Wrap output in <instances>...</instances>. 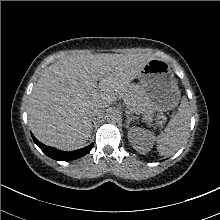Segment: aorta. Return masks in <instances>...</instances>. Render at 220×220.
Returning <instances> with one entry per match:
<instances>
[{
  "label": "aorta",
  "instance_id": "762f6f07",
  "mask_svg": "<svg viewBox=\"0 0 220 220\" xmlns=\"http://www.w3.org/2000/svg\"><path fill=\"white\" fill-rule=\"evenodd\" d=\"M118 113L116 111H110L107 113V120L109 122H116L118 120Z\"/></svg>",
  "mask_w": 220,
  "mask_h": 220
}]
</instances>
